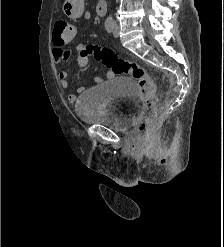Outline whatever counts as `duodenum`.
<instances>
[{
  "label": "duodenum",
  "mask_w": 224,
  "mask_h": 247,
  "mask_svg": "<svg viewBox=\"0 0 224 247\" xmlns=\"http://www.w3.org/2000/svg\"><path fill=\"white\" fill-rule=\"evenodd\" d=\"M106 9H107V1L106 0H98V2L96 4L97 14L100 16H104L106 13Z\"/></svg>",
  "instance_id": "1"
}]
</instances>
